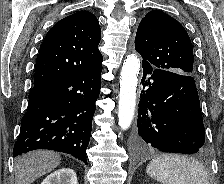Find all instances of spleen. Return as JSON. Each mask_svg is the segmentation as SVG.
Returning a JSON list of instances; mask_svg holds the SVG:
<instances>
[{
	"label": "spleen",
	"instance_id": "3e777b00",
	"mask_svg": "<svg viewBox=\"0 0 224 184\" xmlns=\"http://www.w3.org/2000/svg\"><path fill=\"white\" fill-rule=\"evenodd\" d=\"M146 173L163 184H209L202 164L179 155L155 157L147 165Z\"/></svg>",
	"mask_w": 224,
	"mask_h": 184
}]
</instances>
